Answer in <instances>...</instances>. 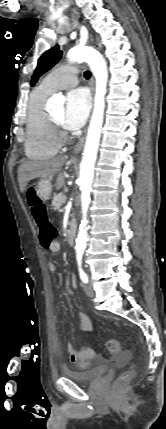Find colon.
<instances>
[{
    "label": "colon",
    "instance_id": "5ec220e1",
    "mask_svg": "<svg viewBox=\"0 0 166 429\" xmlns=\"http://www.w3.org/2000/svg\"><path fill=\"white\" fill-rule=\"evenodd\" d=\"M28 201L32 216L39 228L41 244L43 247L48 248L55 241L57 230L48 218L46 206L40 201L32 188L28 191ZM105 346L108 351L113 353L119 352L121 349L120 342L115 339L106 341ZM134 374V368L122 372L116 380V386L122 387L126 385Z\"/></svg>",
    "mask_w": 166,
    "mask_h": 429
}]
</instances>
